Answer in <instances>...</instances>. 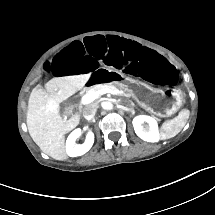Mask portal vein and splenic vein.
<instances>
[{"instance_id": "portal-vein-and-splenic-vein-1", "label": "portal vein and splenic vein", "mask_w": 215, "mask_h": 215, "mask_svg": "<svg viewBox=\"0 0 215 215\" xmlns=\"http://www.w3.org/2000/svg\"><path fill=\"white\" fill-rule=\"evenodd\" d=\"M106 93L122 95V92H120L118 89L105 87V88L97 90L95 92L86 93L83 96L82 103L83 104L91 103L92 101L96 100L99 96L106 94Z\"/></svg>"}]
</instances>
